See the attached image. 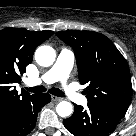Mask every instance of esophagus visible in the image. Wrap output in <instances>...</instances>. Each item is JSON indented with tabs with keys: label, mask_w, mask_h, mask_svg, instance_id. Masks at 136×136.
<instances>
[{
	"label": "esophagus",
	"mask_w": 136,
	"mask_h": 136,
	"mask_svg": "<svg viewBox=\"0 0 136 136\" xmlns=\"http://www.w3.org/2000/svg\"><path fill=\"white\" fill-rule=\"evenodd\" d=\"M51 99H52V101H54V102H59V101L62 100V98L57 97V96H55V95H52V96H51Z\"/></svg>",
	"instance_id": "obj_1"
}]
</instances>
